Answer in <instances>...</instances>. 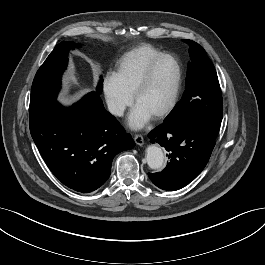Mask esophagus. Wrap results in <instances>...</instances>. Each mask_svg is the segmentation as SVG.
Here are the masks:
<instances>
[{
    "label": "esophagus",
    "instance_id": "esophagus-1",
    "mask_svg": "<svg viewBox=\"0 0 265 265\" xmlns=\"http://www.w3.org/2000/svg\"><path fill=\"white\" fill-rule=\"evenodd\" d=\"M134 141L139 146H142L144 144V138L141 135H135Z\"/></svg>",
    "mask_w": 265,
    "mask_h": 265
}]
</instances>
